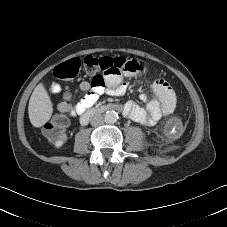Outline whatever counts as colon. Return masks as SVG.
I'll list each match as a JSON object with an SVG mask.
<instances>
[{"label":"colon","mask_w":227,"mask_h":227,"mask_svg":"<svg viewBox=\"0 0 227 227\" xmlns=\"http://www.w3.org/2000/svg\"><path fill=\"white\" fill-rule=\"evenodd\" d=\"M84 66L86 71L93 75L92 83L94 86L104 84V75H120L122 73L134 72L141 73L145 70L143 64L133 59L124 57H97L87 55L83 59L73 58L66 63L57 66L53 70V76L58 80L55 90H60V82H64L74 78ZM62 90V89H61ZM68 93V89L62 90V94ZM68 122V114L60 113L56 120L45 126L44 134L51 139L60 138L59 129L63 128Z\"/></svg>","instance_id":"1"}]
</instances>
